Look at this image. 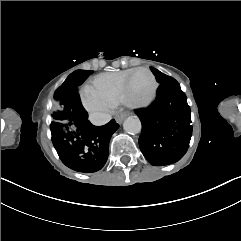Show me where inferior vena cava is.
<instances>
[{
  "label": "inferior vena cava",
  "instance_id": "602c4592",
  "mask_svg": "<svg viewBox=\"0 0 241 241\" xmlns=\"http://www.w3.org/2000/svg\"><path fill=\"white\" fill-rule=\"evenodd\" d=\"M90 122L95 126H102L111 120V115L106 113H98L89 116Z\"/></svg>",
  "mask_w": 241,
  "mask_h": 241
}]
</instances>
